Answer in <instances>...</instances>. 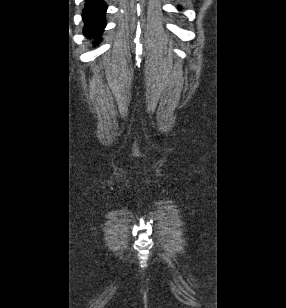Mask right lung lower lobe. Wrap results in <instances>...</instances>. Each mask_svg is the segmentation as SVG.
<instances>
[{
	"instance_id": "1",
	"label": "right lung lower lobe",
	"mask_w": 286,
	"mask_h": 308,
	"mask_svg": "<svg viewBox=\"0 0 286 308\" xmlns=\"http://www.w3.org/2000/svg\"><path fill=\"white\" fill-rule=\"evenodd\" d=\"M86 2L87 4L82 14L85 22L83 33L87 37L95 38V44H97L100 42L101 33L106 26L105 13L107 6L103 0H86Z\"/></svg>"
}]
</instances>
